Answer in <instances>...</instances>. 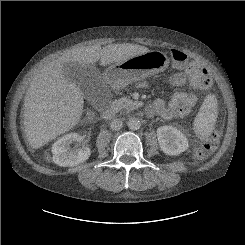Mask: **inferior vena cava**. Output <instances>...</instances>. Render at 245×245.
I'll return each mask as SVG.
<instances>
[{"label": "inferior vena cava", "instance_id": "602c4592", "mask_svg": "<svg viewBox=\"0 0 245 245\" xmlns=\"http://www.w3.org/2000/svg\"><path fill=\"white\" fill-rule=\"evenodd\" d=\"M123 122L120 119H114L110 123V127L112 130L118 131L122 128Z\"/></svg>", "mask_w": 245, "mask_h": 245}]
</instances>
